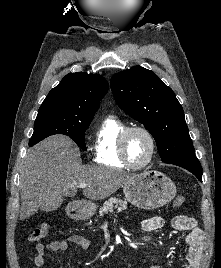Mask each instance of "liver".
Instances as JSON below:
<instances>
[{
  "mask_svg": "<svg viewBox=\"0 0 221 268\" xmlns=\"http://www.w3.org/2000/svg\"><path fill=\"white\" fill-rule=\"evenodd\" d=\"M134 175L107 167L82 165L79 149L63 135L48 137L27 151L20 171V220L74 197L80 183L83 195L102 200Z\"/></svg>",
  "mask_w": 221,
  "mask_h": 268,
  "instance_id": "obj_1",
  "label": "liver"
}]
</instances>
